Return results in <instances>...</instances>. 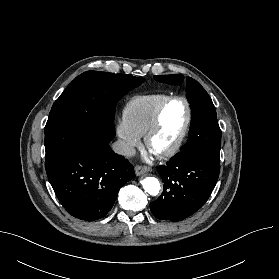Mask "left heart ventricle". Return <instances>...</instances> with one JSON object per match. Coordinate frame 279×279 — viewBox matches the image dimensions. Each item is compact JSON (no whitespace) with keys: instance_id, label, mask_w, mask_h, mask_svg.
<instances>
[{"instance_id":"b2bd125f","label":"left heart ventricle","mask_w":279,"mask_h":279,"mask_svg":"<svg viewBox=\"0 0 279 279\" xmlns=\"http://www.w3.org/2000/svg\"><path fill=\"white\" fill-rule=\"evenodd\" d=\"M187 117L186 105L181 100L171 102L165 109L161 125L150 142L154 153L166 150L180 135Z\"/></svg>"}]
</instances>
